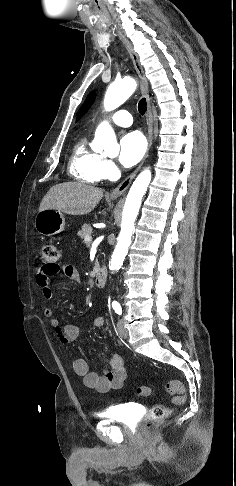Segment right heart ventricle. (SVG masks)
Here are the masks:
<instances>
[{"label":"right heart ventricle","mask_w":236,"mask_h":486,"mask_svg":"<svg viewBox=\"0 0 236 486\" xmlns=\"http://www.w3.org/2000/svg\"><path fill=\"white\" fill-rule=\"evenodd\" d=\"M103 160L101 155L89 148L87 138L81 137L69 158V174L81 182L97 184L104 179L101 170Z\"/></svg>","instance_id":"obj_1"}]
</instances>
